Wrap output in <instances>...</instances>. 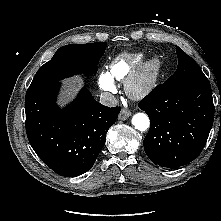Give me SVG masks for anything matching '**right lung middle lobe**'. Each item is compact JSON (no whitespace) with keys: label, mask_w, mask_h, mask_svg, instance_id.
<instances>
[{"label":"right lung middle lobe","mask_w":221,"mask_h":221,"mask_svg":"<svg viewBox=\"0 0 221 221\" xmlns=\"http://www.w3.org/2000/svg\"><path fill=\"white\" fill-rule=\"evenodd\" d=\"M106 46V42H99L59 48L52 59L37 71L29 88L58 82L80 73L95 74Z\"/></svg>","instance_id":"1"}]
</instances>
